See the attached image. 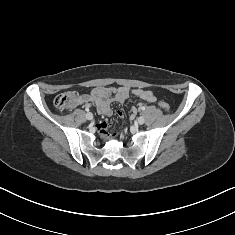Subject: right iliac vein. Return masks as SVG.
Returning <instances> with one entry per match:
<instances>
[{"mask_svg":"<svg viewBox=\"0 0 235 235\" xmlns=\"http://www.w3.org/2000/svg\"><path fill=\"white\" fill-rule=\"evenodd\" d=\"M86 118H87L88 120H92V119H93V114L90 113V112H88V113L86 114Z\"/></svg>","mask_w":235,"mask_h":235,"instance_id":"right-iliac-vein-1","label":"right iliac vein"}]
</instances>
